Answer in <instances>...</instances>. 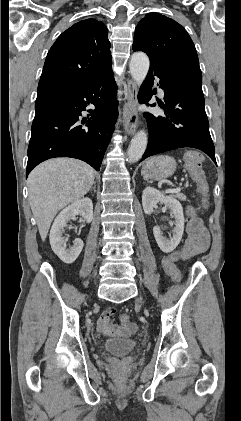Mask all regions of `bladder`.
Instances as JSON below:
<instances>
[{
  "label": "bladder",
  "instance_id": "bladder-1",
  "mask_svg": "<svg viewBox=\"0 0 241 421\" xmlns=\"http://www.w3.org/2000/svg\"><path fill=\"white\" fill-rule=\"evenodd\" d=\"M103 348L110 354L123 356L135 351L138 348V344L132 339H112L107 340Z\"/></svg>",
  "mask_w": 241,
  "mask_h": 421
}]
</instances>
